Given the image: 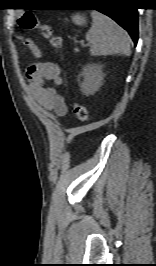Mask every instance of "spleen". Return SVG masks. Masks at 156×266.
I'll return each mask as SVG.
<instances>
[{"label": "spleen", "mask_w": 156, "mask_h": 266, "mask_svg": "<svg viewBox=\"0 0 156 266\" xmlns=\"http://www.w3.org/2000/svg\"><path fill=\"white\" fill-rule=\"evenodd\" d=\"M91 28L86 33L92 56L112 54L130 55V37L127 32L106 15L92 11Z\"/></svg>", "instance_id": "spleen-1"}]
</instances>
